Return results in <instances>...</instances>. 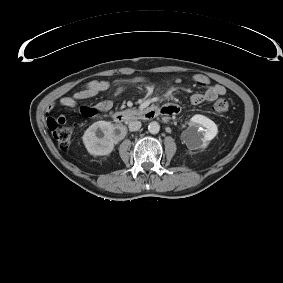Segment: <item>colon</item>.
Wrapping results in <instances>:
<instances>
[{"mask_svg":"<svg viewBox=\"0 0 283 283\" xmlns=\"http://www.w3.org/2000/svg\"><path fill=\"white\" fill-rule=\"evenodd\" d=\"M229 103L227 100L220 98L213 104V110L218 115H224L229 111ZM53 136L61 147H67L70 145L73 136V130L69 126L56 125L52 129Z\"/></svg>","mask_w":283,"mask_h":283,"instance_id":"colon-1","label":"colon"}]
</instances>
